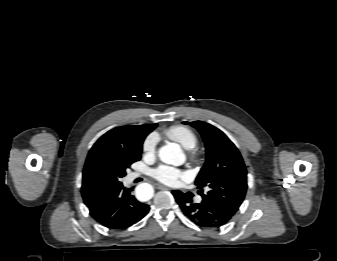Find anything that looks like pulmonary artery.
I'll return each mask as SVG.
<instances>
[{
    "label": "pulmonary artery",
    "instance_id": "obj_1",
    "mask_svg": "<svg viewBox=\"0 0 337 261\" xmlns=\"http://www.w3.org/2000/svg\"><path fill=\"white\" fill-rule=\"evenodd\" d=\"M136 176H138V173L132 174V177H136ZM201 201H202V198H201V197H197V198H196V202H197V203H200Z\"/></svg>",
    "mask_w": 337,
    "mask_h": 261
}]
</instances>
